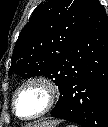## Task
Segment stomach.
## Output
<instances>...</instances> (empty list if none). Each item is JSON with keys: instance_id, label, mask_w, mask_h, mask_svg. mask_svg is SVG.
Returning a JSON list of instances; mask_svg holds the SVG:
<instances>
[{"instance_id": "stomach-1", "label": "stomach", "mask_w": 108, "mask_h": 127, "mask_svg": "<svg viewBox=\"0 0 108 127\" xmlns=\"http://www.w3.org/2000/svg\"><path fill=\"white\" fill-rule=\"evenodd\" d=\"M57 125H58L57 123L56 124H49L47 126H43V125L39 124V125H34L33 127H57Z\"/></svg>"}]
</instances>
